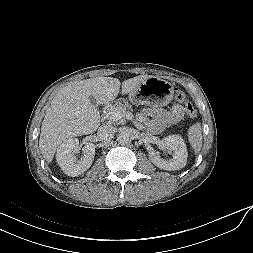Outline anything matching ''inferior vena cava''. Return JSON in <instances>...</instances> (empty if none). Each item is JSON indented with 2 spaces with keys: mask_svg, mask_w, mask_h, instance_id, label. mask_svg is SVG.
<instances>
[{
  "mask_svg": "<svg viewBox=\"0 0 253 253\" xmlns=\"http://www.w3.org/2000/svg\"><path fill=\"white\" fill-rule=\"evenodd\" d=\"M114 134H115L114 127L111 125H107V124L99 127L98 132H97V136H98L99 140L102 142L111 141L112 138L114 137Z\"/></svg>",
  "mask_w": 253,
  "mask_h": 253,
  "instance_id": "1",
  "label": "inferior vena cava"
}]
</instances>
